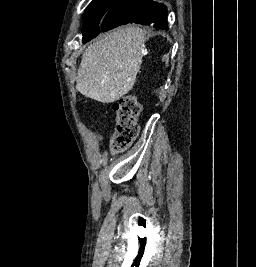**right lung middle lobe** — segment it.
Masks as SVG:
<instances>
[{"instance_id":"obj_1","label":"right lung middle lobe","mask_w":256,"mask_h":267,"mask_svg":"<svg viewBox=\"0 0 256 267\" xmlns=\"http://www.w3.org/2000/svg\"><path fill=\"white\" fill-rule=\"evenodd\" d=\"M142 0H93L85 10L83 43L108 31Z\"/></svg>"}]
</instances>
